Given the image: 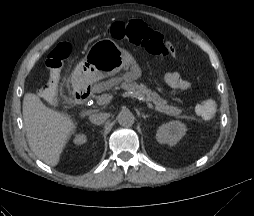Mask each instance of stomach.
Listing matches in <instances>:
<instances>
[{
  "mask_svg": "<svg viewBox=\"0 0 254 216\" xmlns=\"http://www.w3.org/2000/svg\"><path fill=\"white\" fill-rule=\"evenodd\" d=\"M127 69L124 77L136 80L141 69L132 53L119 47L109 38L95 42L72 74L75 82H93L118 74Z\"/></svg>",
  "mask_w": 254,
  "mask_h": 216,
  "instance_id": "0dacf381",
  "label": "stomach"
}]
</instances>
